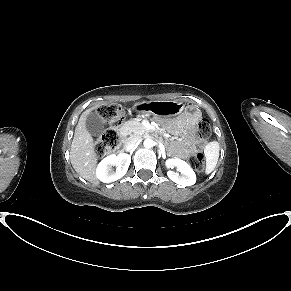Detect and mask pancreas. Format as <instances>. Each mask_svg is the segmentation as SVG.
I'll list each match as a JSON object with an SVG mask.
<instances>
[{
    "label": "pancreas",
    "mask_w": 291,
    "mask_h": 291,
    "mask_svg": "<svg viewBox=\"0 0 291 291\" xmlns=\"http://www.w3.org/2000/svg\"><path fill=\"white\" fill-rule=\"evenodd\" d=\"M125 126L130 128L134 135L140 136L145 132V127L137 120L126 122Z\"/></svg>",
    "instance_id": "cf45deb5"
}]
</instances>
